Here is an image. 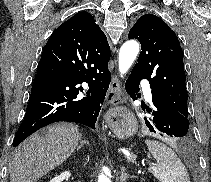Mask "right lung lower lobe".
Here are the masks:
<instances>
[{"label":"right lung lower lobe","mask_w":211,"mask_h":182,"mask_svg":"<svg viewBox=\"0 0 211 182\" xmlns=\"http://www.w3.org/2000/svg\"><path fill=\"white\" fill-rule=\"evenodd\" d=\"M110 53L82 46L69 29L59 27L49 38L31 90L25 118L13 141L17 146L38 129L58 121L81 123L95 129L111 81ZM83 82L89 90L81 98Z\"/></svg>","instance_id":"1"}]
</instances>
